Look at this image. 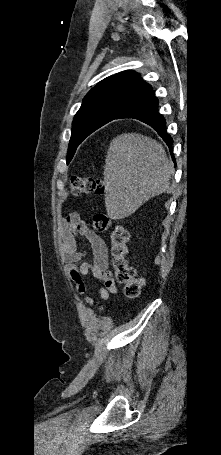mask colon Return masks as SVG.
Listing matches in <instances>:
<instances>
[{"instance_id":"colon-1","label":"colon","mask_w":221,"mask_h":455,"mask_svg":"<svg viewBox=\"0 0 221 455\" xmlns=\"http://www.w3.org/2000/svg\"><path fill=\"white\" fill-rule=\"evenodd\" d=\"M105 191L102 181L93 177H73L70 180V193L73 196L82 194L101 195ZM92 226L96 232L103 233L110 229V257L114 279L122 284L129 297H137L144 285V280L136 275L128 260V232L122 225L111 224L105 213H95Z\"/></svg>"}]
</instances>
